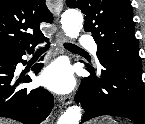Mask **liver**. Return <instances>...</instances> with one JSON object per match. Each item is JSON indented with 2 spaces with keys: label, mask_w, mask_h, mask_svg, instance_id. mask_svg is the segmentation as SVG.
Listing matches in <instances>:
<instances>
[{
  "label": "liver",
  "mask_w": 145,
  "mask_h": 124,
  "mask_svg": "<svg viewBox=\"0 0 145 124\" xmlns=\"http://www.w3.org/2000/svg\"><path fill=\"white\" fill-rule=\"evenodd\" d=\"M0 124H10V123H6L0 120Z\"/></svg>",
  "instance_id": "6515ba94"
}]
</instances>
